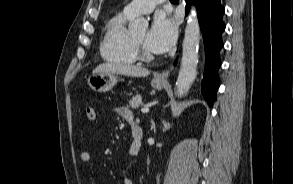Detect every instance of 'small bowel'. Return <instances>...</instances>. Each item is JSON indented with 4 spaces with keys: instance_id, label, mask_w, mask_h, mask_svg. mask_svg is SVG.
Returning <instances> with one entry per match:
<instances>
[{
    "instance_id": "small-bowel-1",
    "label": "small bowel",
    "mask_w": 293,
    "mask_h": 184,
    "mask_svg": "<svg viewBox=\"0 0 293 184\" xmlns=\"http://www.w3.org/2000/svg\"><path fill=\"white\" fill-rule=\"evenodd\" d=\"M114 111L117 115H119L123 120L127 122L131 123L134 121V114L128 107L118 106V107H115ZM138 152L139 150H137L134 142L132 141L129 147V155L133 157L137 155ZM79 159L83 164L88 165L91 162V154L88 151H84L80 154ZM123 184H135V183L131 178L125 177L123 180Z\"/></svg>"
}]
</instances>
